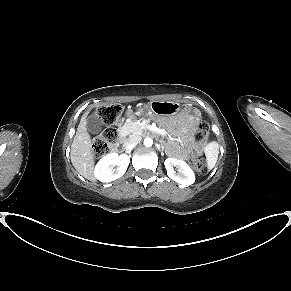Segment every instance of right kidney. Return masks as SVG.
<instances>
[{"mask_svg":"<svg viewBox=\"0 0 291 291\" xmlns=\"http://www.w3.org/2000/svg\"><path fill=\"white\" fill-rule=\"evenodd\" d=\"M129 162L130 157L126 154L110 153L96 164L94 176L101 182L114 181L124 175ZM115 165L117 168L113 170Z\"/></svg>","mask_w":291,"mask_h":291,"instance_id":"ca27d5eb","label":"right kidney"}]
</instances>
